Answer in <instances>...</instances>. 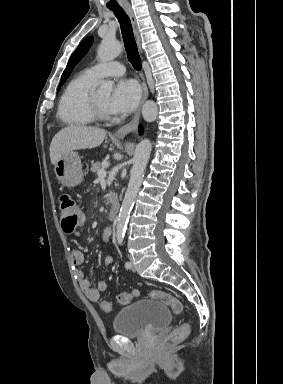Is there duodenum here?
Segmentation results:
<instances>
[{
	"mask_svg": "<svg viewBox=\"0 0 283 384\" xmlns=\"http://www.w3.org/2000/svg\"><path fill=\"white\" fill-rule=\"evenodd\" d=\"M119 211H120V203L117 200V198H114L108 213L109 219L115 220L119 214Z\"/></svg>",
	"mask_w": 283,
	"mask_h": 384,
	"instance_id": "1",
	"label": "duodenum"
}]
</instances>
